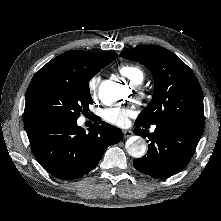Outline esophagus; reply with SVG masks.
I'll list each match as a JSON object with an SVG mask.
<instances>
[{
  "mask_svg": "<svg viewBox=\"0 0 221 221\" xmlns=\"http://www.w3.org/2000/svg\"><path fill=\"white\" fill-rule=\"evenodd\" d=\"M123 134H124L125 138H128V137L132 136L133 133L131 130H124Z\"/></svg>",
  "mask_w": 221,
  "mask_h": 221,
  "instance_id": "obj_1",
  "label": "esophagus"
}]
</instances>
